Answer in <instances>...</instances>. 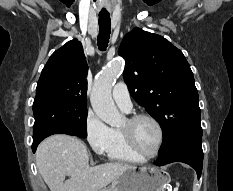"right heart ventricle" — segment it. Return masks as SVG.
Instances as JSON below:
<instances>
[{"instance_id":"obj_1","label":"right heart ventricle","mask_w":233,"mask_h":191,"mask_svg":"<svg viewBox=\"0 0 233 191\" xmlns=\"http://www.w3.org/2000/svg\"><path fill=\"white\" fill-rule=\"evenodd\" d=\"M106 154L111 161L127 163L144 161L129 148L120 129H112V143Z\"/></svg>"}]
</instances>
